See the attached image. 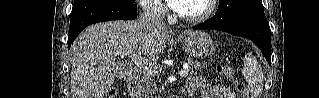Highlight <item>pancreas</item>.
Segmentation results:
<instances>
[{"instance_id":"pancreas-1","label":"pancreas","mask_w":319,"mask_h":98,"mask_svg":"<svg viewBox=\"0 0 319 98\" xmlns=\"http://www.w3.org/2000/svg\"><path fill=\"white\" fill-rule=\"evenodd\" d=\"M190 64V73L196 74L199 70H202L204 65L200 63L199 61H193L189 60ZM161 72V69L159 68V71L156 74H159ZM156 74H145L142 76V83L140 86V91L143 96L149 97L152 96L155 92L158 91V88L156 87V82L154 80V77Z\"/></svg>"}]
</instances>
